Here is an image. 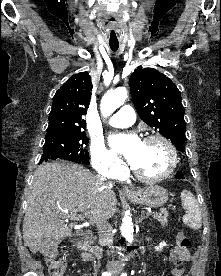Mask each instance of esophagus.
I'll return each instance as SVG.
<instances>
[{
    "mask_svg": "<svg viewBox=\"0 0 221 276\" xmlns=\"http://www.w3.org/2000/svg\"><path fill=\"white\" fill-rule=\"evenodd\" d=\"M122 192L123 193H132V192H134V189L125 186V187L122 188Z\"/></svg>",
    "mask_w": 221,
    "mask_h": 276,
    "instance_id": "1",
    "label": "esophagus"
}]
</instances>
